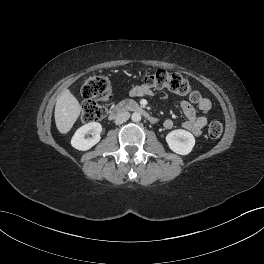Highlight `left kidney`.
<instances>
[{
  "mask_svg": "<svg viewBox=\"0 0 264 264\" xmlns=\"http://www.w3.org/2000/svg\"><path fill=\"white\" fill-rule=\"evenodd\" d=\"M166 142L173 152L180 155H187L195 145V138L190 132L177 129L167 134Z\"/></svg>",
  "mask_w": 264,
  "mask_h": 264,
  "instance_id": "1",
  "label": "left kidney"
}]
</instances>
